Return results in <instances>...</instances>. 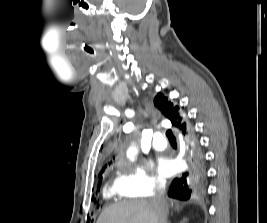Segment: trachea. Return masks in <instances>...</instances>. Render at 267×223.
Returning a JSON list of instances; mask_svg holds the SVG:
<instances>
[{
  "label": "trachea",
  "mask_w": 267,
  "mask_h": 223,
  "mask_svg": "<svg viewBox=\"0 0 267 223\" xmlns=\"http://www.w3.org/2000/svg\"><path fill=\"white\" fill-rule=\"evenodd\" d=\"M166 137L168 138L170 143H175L176 142V139H175V136L173 135L172 130H167L166 131Z\"/></svg>",
  "instance_id": "3493384b"
}]
</instances>
